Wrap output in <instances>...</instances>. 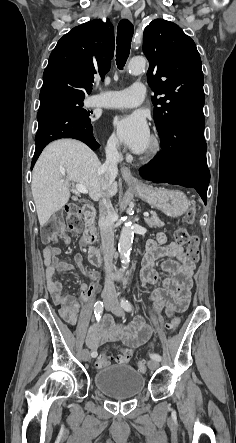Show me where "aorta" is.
Wrapping results in <instances>:
<instances>
[{"label":"aorta","instance_id":"obj_1","mask_svg":"<svg viewBox=\"0 0 236 443\" xmlns=\"http://www.w3.org/2000/svg\"><path fill=\"white\" fill-rule=\"evenodd\" d=\"M146 67V59L144 57L133 58L128 64V70L133 75L141 74ZM133 228L130 221L125 222L118 243L121 263L127 265L130 262V252L133 242Z\"/></svg>","mask_w":236,"mask_h":443}]
</instances>
